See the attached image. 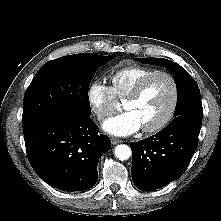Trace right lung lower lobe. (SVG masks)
<instances>
[{"mask_svg": "<svg viewBox=\"0 0 221 221\" xmlns=\"http://www.w3.org/2000/svg\"><path fill=\"white\" fill-rule=\"evenodd\" d=\"M27 155L36 174L64 191L91 188L98 178V160L111 148L91 118L56 113L23 128Z\"/></svg>", "mask_w": 221, "mask_h": 221, "instance_id": "obj_1", "label": "right lung lower lobe"}]
</instances>
